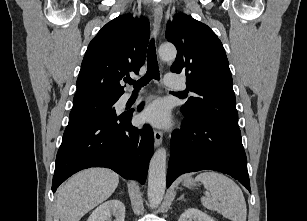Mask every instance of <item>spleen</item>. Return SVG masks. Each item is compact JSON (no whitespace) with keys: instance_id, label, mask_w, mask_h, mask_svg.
<instances>
[{"instance_id":"3e777b00","label":"spleen","mask_w":307,"mask_h":221,"mask_svg":"<svg viewBox=\"0 0 307 221\" xmlns=\"http://www.w3.org/2000/svg\"><path fill=\"white\" fill-rule=\"evenodd\" d=\"M197 181L211 193V197H202V205L220 212L232 221H246L247 208L245 198L240 187L227 176L213 171L200 173Z\"/></svg>"}]
</instances>
